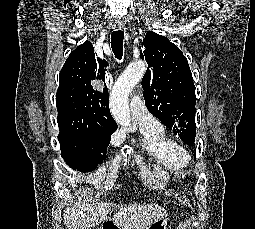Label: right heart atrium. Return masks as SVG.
Wrapping results in <instances>:
<instances>
[{
    "instance_id": "right-heart-atrium-1",
    "label": "right heart atrium",
    "mask_w": 255,
    "mask_h": 229,
    "mask_svg": "<svg viewBox=\"0 0 255 229\" xmlns=\"http://www.w3.org/2000/svg\"><path fill=\"white\" fill-rule=\"evenodd\" d=\"M119 140H120V138L118 137V135L114 134L112 139H111V144L116 145V144H118Z\"/></svg>"
}]
</instances>
